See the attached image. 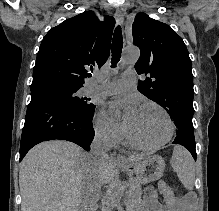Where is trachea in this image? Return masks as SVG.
<instances>
[{"label": "trachea", "mask_w": 219, "mask_h": 211, "mask_svg": "<svg viewBox=\"0 0 219 211\" xmlns=\"http://www.w3.org/2000/svg\"><path fill=\"white\" fill-rule=\"evenodd\" d=\"M123 49V37H122V30L120 26H117L114 35H113V41H112V67H115L116 64L119 62L121 53ZM91 76V75H89Z\"/></svg>", "instance_id": "3493384b"}]
</instances>
